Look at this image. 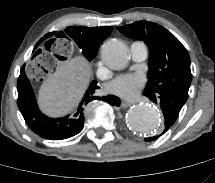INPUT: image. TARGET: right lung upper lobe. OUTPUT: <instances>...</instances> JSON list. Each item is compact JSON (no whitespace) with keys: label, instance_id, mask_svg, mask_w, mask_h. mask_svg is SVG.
I'll list each match as a JSON object with an SVG mask.
<instances>
[{"label":"right lung upper lobe","instance_id":"right-lung-upper-lobe-1","mask_svg":"<svg viewBox=\"0 0 215 183\" xmlns=\"http://www.w3.org/2000/svg\"><path fill=\"white\" fill-rule=\"evenodd\" d=\"M86 32L92 33V40L93 41H99L100 44L102 41L108 37L112 31L111 27H95V28H84ZM67 35H69V31L67 30L65 32ZM59 34H62V36H65L63 32H60ZM58 34V35H59ZM52 34H49L47 37H50ZM38 45V44H37ZM100 46V45H99Z\"/></svg>","mask_w":215,"mask_h":183}]
</instances>
